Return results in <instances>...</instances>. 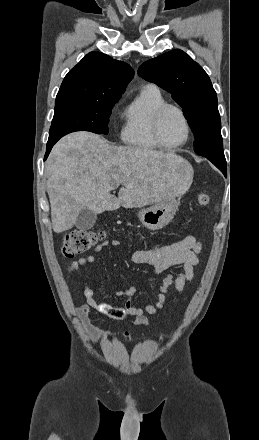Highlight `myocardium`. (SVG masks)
<instances>
[{
	"instance_id": "1",
	"label": "myocardium",
	"mask_w": 259,
	"mask_h": 440,
	"mask_svg": "<svg viewBox=\"0 0 259 440\" xmlns=\"http://www.w3.org/2000/svg\"><path fill=\"white\" fill-rule=\"evenodd\" d=\"M169 110H175L180 115V117L183 120V123L185 125V128H186L185 139L182 142L175 144V145L166 144L163 141V139L161 137V133H160L162 119H163L164 115L166 114V112ZM152 133H153V137H154L156 143L161 148L166 149V150H176L178 148L183 147L189 141V139L191 137V126H190L189 120H188L185 112L183 111V109L181 107H179L175 104L165 103L155 113V116L153 119V124H152Z\"/></svg>"
}]
</instances>
